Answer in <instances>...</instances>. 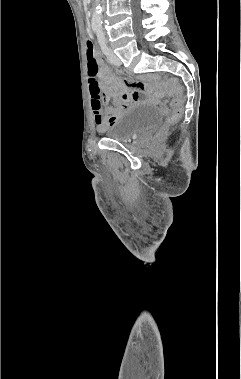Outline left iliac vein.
I'll use <instances>...</instances> for the list:
<instances>
[{
  "instance_id": "obj_1",
  "label": "left iliac vein",
  "mask_w": 241,
  "mask_h": 379,
  "mask_svg": "<svg viewBox=\"0 0 241 379\" xmlns=\"http://www.w3.org/2000/svg\"><path fill=\"white\" fill-rule=\"evenodd\" d=\"M107 57L108 60L114 65L120 66L122 64L119 57L112 50H109Z\"/></svg>"
}]
</instances>
